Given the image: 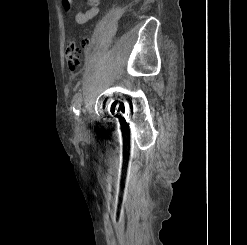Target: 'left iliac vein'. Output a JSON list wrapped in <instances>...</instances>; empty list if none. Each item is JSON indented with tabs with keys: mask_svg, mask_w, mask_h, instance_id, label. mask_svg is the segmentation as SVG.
I'll use <instances>...</instances> for the list:
<instances>
[{
	"mask_svg": "<svg viewBox=\"0 0 247 245\" xmlns=\"http://www.w3.org/2000/svg\"><path fill=\"white\" fill-rule=\"evenodd\" d=\"M76 129L78 132H81L85 129V123L82 117H79L76 122Z\"/></svg>",
	"mask_w": 247,
	"mask_h": 245,
	"instance_id": "4c4485c4",
	"label": "left iliac vein"
}]
</instances>
